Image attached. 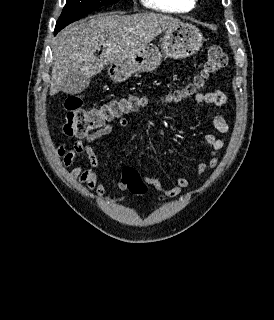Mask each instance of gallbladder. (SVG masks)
Segmentation results:
<instances>
[{"label":"gallbladder","mask_w":274,"mask_h":320,"mask_svg":"<svg viewBox=\"0 0 274 320\" xmlns=\"http://www.w3.org/2000/svg\"><path fill=\"white\" fill-rule=\"evenodd\" d=\"M89 73L85 68H70L63 78V89L65 95H81L90 84Z\"/></svg>","instance_id":"1"}]
</instances>
